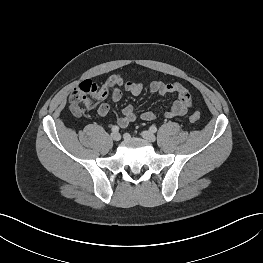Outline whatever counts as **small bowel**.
I'll return each instance as SVG.
<instances>
[{"instance_id":"c3829d8e","label":"small bowel","mask_w":263,"mask_h":263,"mask_svg":"<svg viewBox=\"0 0 263 263\" xmlns=\"http://www.w3.org/2000/svg\"><path fill=\"white\" fill-rule=\"evenodd\" d=\"M143 88L141 82L126 81L117 74L110 75L102 83L99 88L98 96L95 99L97 114L102 117L109 114L110 106L106 102L108 97H110L112 101L118 102L122 98L123 91L138 96L143 92ZM149 90L159 96H166L168 94L176 96L173 105L164 114L166 118L183 116L191 107V96L189 91L178 82L164 83L159 80H153L149 84ZM137 117L138 115L133 106H125L122 110V116L117 120V124L120 127H126L135 121ZM140 118L150 122L156 119V114L152 111H144L140 114Z\"/></svg>"}]
</instances>
